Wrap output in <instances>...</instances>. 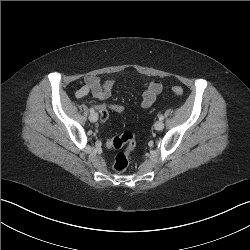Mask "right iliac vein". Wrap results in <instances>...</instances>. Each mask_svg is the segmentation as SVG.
Instances as JSON below:
<instances>
[{
  "label": "right iliac vein",
  "instance_id": "obj_1",
  "mask_svg": "<svg viewBox=\"0 0 250 250\" xmlns=\"http://www.w3.org/2000/svg\"><path fill=\"white\" fill-rule=\"evenodd\" d=\"M89 120H90L91 122H96V121L98 120V114L95 113V112L91 113V114L89 115Z\"/></svg>",
  "mask_w": 250,
  "mask_h": 250
}]
</instances>
